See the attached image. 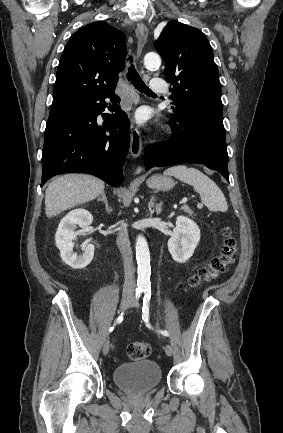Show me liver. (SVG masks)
Returning <instances> with one entry per match:
<instances>
[{
  "label": "liver",
  "mask_w": 283,
  "mask_h": 433,
  "mask_svg": "<svg viewBox=\"0 0 283 433\" xmlns=\"http://www.w3.org/2000/svg\"><path fill=\"white\" fill-rule=\"evenodd\" d=\"M103 180L90 174H64L49 182L45 190L47 217H56L61 210L93 200L104 190Z\"/></svg>",
  "instance_id": "6515ba94"
}]
</instances>
